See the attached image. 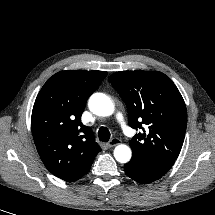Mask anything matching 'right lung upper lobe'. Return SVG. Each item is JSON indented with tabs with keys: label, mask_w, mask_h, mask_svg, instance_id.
I'll list each match as a JSON object with an SVG mask.
<instances>
[{
	"label": "right lung upper lobe",
	"mask_w": 215,
	"mask_h": 215,
	"mask_svg": "<svg viewBox=\"0 0 215 215\" xmlns=\"http://www.w3.org/2000/svg\"><path fill=\"white\" fill-rule=\"evenodd\" d=\"M106 75L98 70L58 72L35 100L31 126L37 151L46 168L65 181L84 176L101 151L80 117L88 97Z\"/></svg>",
	"instance_id": "obj_1"
}]
</instances>
